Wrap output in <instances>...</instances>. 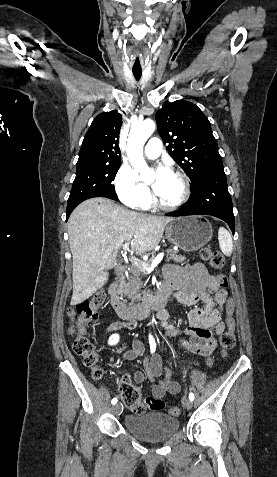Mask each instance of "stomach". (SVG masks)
<instances>
[{
  "label": "stomach",
  "instance_id": "stomach-1",
  "mask_svg": "<svg viewBox=\"0 0 277 477\" xmlns=\"http://www.w3.org/2000/svg\"><path fill=\"white\" fill-rule=\"evenodd\" d=\"M212 235L210 222L200 216L178 217L166 227L167 239L186 252H194L204 247L210 242Z\"/></svg>",
  "mask_w": 277,
  "mask_h": 477
}]
</instances>
